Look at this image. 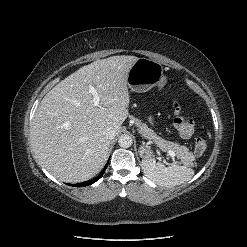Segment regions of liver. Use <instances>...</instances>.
<instances>
[{
	"label": "liver",
	"mask_w": 247,
	"mask_h": 247,
	"mask_svg": "<svg viewBox=\"0 0 247 247\" xmlns=\"http://www.w3.org/2000/svg\"><path fill=\"white\" fill-rule=\"evenodd\" d=\"M135 56L99 59L72 73L42 99L31 125L36 159L62 182L78 183L104 167L110 146L104 131L119 133L129 115L127 77ZM89 85L100 97L94 106Z\"/></svg>",
	"instance_id": "6515ba94"
}]
</instances>
